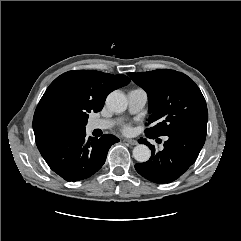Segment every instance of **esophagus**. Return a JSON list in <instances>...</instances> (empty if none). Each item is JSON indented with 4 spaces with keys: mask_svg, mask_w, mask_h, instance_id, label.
<instances>
[{
    "mask_svg": "<svg viewBox=\"0 0 241 241\" xmlns=\"http://www.w3.org/2000/svg\"><path fill=\"white\" fill-rule=\"evenodd\" d=\"M126 143L130 144V145H136L137 141L134 139H125L124 140Z\"/></svg>",
    "mask_w": 241,
    "mask_h": 241,
    "instance_id": "obj_1",
    "label": "esophagus"
}]
</instances>
